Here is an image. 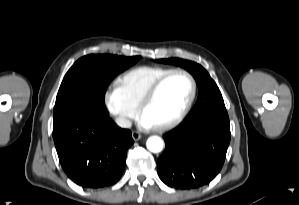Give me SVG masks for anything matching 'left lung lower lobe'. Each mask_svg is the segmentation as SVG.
<instances>
[{
  "label": "left lung lower lobe",
  "mask_w": 299,
  "mask_h": 205,
  "mask_svg": "<svg viewBox=\"0 0 299 205\" xmlns=\"http://www.w3.org/2000/svg\"><path fill=\"white\" fill-rule=\"evenodd\" d=\"M226 108L186 119L165 134L166 148L158 158L160 179L175 189H195L208 184L221 170L230 143Z\"/></svg>",
  "instance_id": "0a47b994"
}]
</instances>
